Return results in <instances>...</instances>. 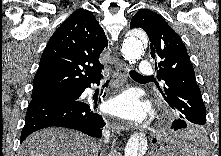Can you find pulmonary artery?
<instances>
[{
  "label": "pulmonary artery",
  "instance_id": "e3ab8cb5",
  "mask_svg": "<svg viewBox=\"0 0 221 156\" xmlns=\"http://www.w3.org/2000/svg\"><path fill=\"white\" fill-rule=\"evenodd\" d=\"M139 73L143 76H148L152 74L153 73L152 64L147 60H143L139 65Z\"/></svg>",
  "mask_w": 221,
  "mask_h": 156
}]
</instances>
